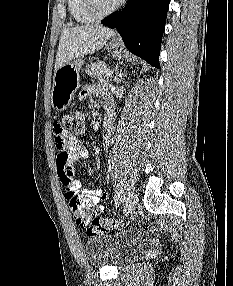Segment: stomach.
Masks as SVG:
<instances>
[{"label": "stomach", "mask_w": 233, "mask_h": 286, "mask_svg": "<svg viewBox=\"0 0 233 286\" xmlns=\"http://www.w3.org/2000/svg\"><path fill=\"white\" fill-rule=\"evenodd\" d=\"M107 49L113 57L121 58L120 44L117 41L107 44ZM83 64L84 60L81 57L63 65L55 72L51 104L56 111L66 110L80 87L79 74Z\"/></svg>", "instance_id": "obj_1"}]
</instances>
